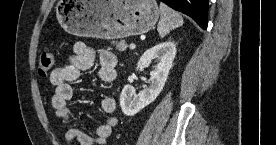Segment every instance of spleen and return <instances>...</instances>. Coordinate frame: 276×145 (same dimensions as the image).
I'll list each match as a JSON object with an SVG mask.
<instances>
[{
    "instance_id": "3e777b00",
    "label": "spleen",
    "mask_w": 276,
    "mask_h": 145,
    "mask_svg": "<svg viewBox=\"0 0 276 145\" xmlns=\"http://www.w3.org/2000/svg\"><path fill=\"white\" fill-rule=\"evenodd\" d=\"M161 18L157 26L161 38L165 37L172 29L183 25L182 16L164 3H160Z\"/></svg>"
}]
</instances>
